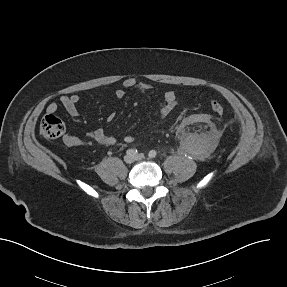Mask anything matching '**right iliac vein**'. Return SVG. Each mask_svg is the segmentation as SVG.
I'll use <instances>...</instances> for the list:
<instances>
[{"mask_svg":"<svg viewBox=\"0 0 287 287\" xmlns=\"http://www.w3.org/2000/svg\"><path fill=\"white\" fill-rule=\"evenodd\" d=\"M124 161H125L126 163L131 164V163H133V162L135 161V157H134V156H131V155H126V156L124 157Z\"/></svg>","mask_w":287,"mask_h":287,"instance_id":"right-iliac-vein-1","label":"right iliac vein"}]
</instances>
